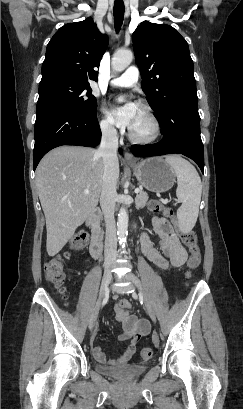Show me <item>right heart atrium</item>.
<instances>
[{
	"mask_svg": "<svg viewBox=\"0 0 243 409\" xmlns=\"http://www.w3.org/2000/svg\"><path fill=\"white\" fill-rule=\"evenodd\" d=\"M99 126L101 131L106 135H113L115 133V128L107 117L101 118Z\"/></svg>",
	"mask_w": 243,
	"mask_h": 409,
	"instance_id": "obj_1",
	"label": "right heart atrium"
}]
</instances>
